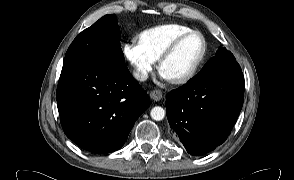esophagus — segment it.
Wrapping results in <instances>:
<instances>
[{
    "label": "esophagus",
    "instance_id": "obj_1",
    "mask_svg": "<svg viewBox=\"0 0 294 180\" xmlns=\"http://www.w3.org/2000/svg\"><path fill=\"white\" fill-rule=\"evenodd\" d=\"M150 97L154 101H159V100L162 99V91L161 90H158V89L152 90L150 92Z\"/></svg>",
    "mask_w": 294,
    "mask_h": 180
}]
</instances>
